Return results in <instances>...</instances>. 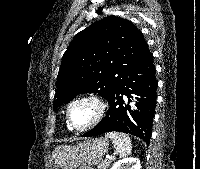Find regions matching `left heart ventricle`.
Masks as SVG:
<instances>
[{"instance_id":"obj_1","label":"left heart ventricle","mask_w":200,"mask_h":169,"mask_svg":"<svg viewBox=\"0 0 200 169\" xmlns=\"http://www.w3.org/2000/svg\"><path fill=\"white\" fill-rule=\"evenodd\" d=\"M95 114L96 109L92 103L82 102L71 109V120L74 126L83 127L93 120Z\"/></svg>"}]
</instances>
